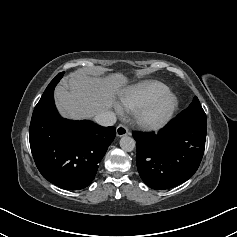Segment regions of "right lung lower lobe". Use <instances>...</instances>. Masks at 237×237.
Listing matches in <instances>:
<instances>
[{"mask_svg":"<svg viewBox=\"0 0 237 237\" xmlns=\"http://www.w3.org/2000/svg\"><path fill=\"white\" fill-rule=\"evenodd\" d=\"M58 74L37 103L30 123L32 155L42 176L64 189L87 187L94 179L98 163L115 138L114 127L91 121H70L59 116L54 104Z\"/></svg>","mask_w":237,"mask_h":237,"instance_id":"1","label":"right lung lower lobe"}]
</instances>
